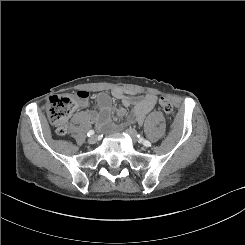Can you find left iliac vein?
I'll list each match as a JSON object with an SVG mask.
<instances>
[{
	"label": "left iliac vein",
	"mask_w": 245,
	"mask_h": 245,
	"mask_svg": "<svg viewBox=\"0 0 245 245\" xmlns=\"http://www.w3.org/2000/svg\"><path fill=\"white\" fill-rule=\"evenodd\" d=\"M126 133L132 138V140L134 142H137L138 141V136H137V133H136V131L134 129L128 128L126 130Z\"/></svg>",
	"instance_id": "obj_1"
}]
</instances>
